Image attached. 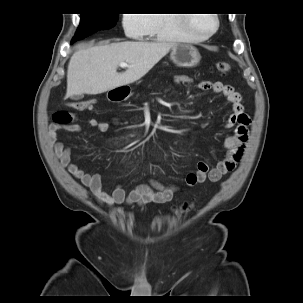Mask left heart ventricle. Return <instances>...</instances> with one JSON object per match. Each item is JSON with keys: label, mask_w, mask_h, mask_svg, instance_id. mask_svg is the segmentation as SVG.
I'll list each match as a JSON object with an SVG mask.
<instances>
[{"label": "left heart ventricle", "mask_w": 303, "mask_h": 303, "mask_svg": "<svg viewBox=\"0 0 303 303\" xmlns=\"http://www.w3.org/2000/svg\"><path fill=\"white\" fill-rule=\"evenodd\" d=\"M191 28L195 33L206 34L214 28V19L210 14H194Z\"/></svg>", "instance_id": "left-heart-ventricle-1"}]
</instances>
